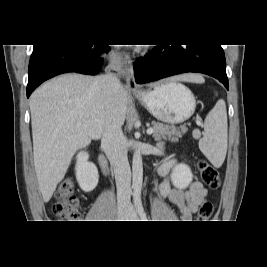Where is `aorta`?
<instances>
[{
	"instance_id": "obj_1",
	"label": "aorta",
	"mask_w": 267,
	"mask_h": 267,
	"mask_svg": "<svg viewBox=\"0 0 267 267\" xmlns=\"http://www.w3.org/2000/svg\"><path fill=\"white\" fill-rule=\"evenodd\" d=\"M143 182V163L140 151H135L132 160V183H133V196L136 201L141 199V189Z\"/></svg>"
}]
</instances>
